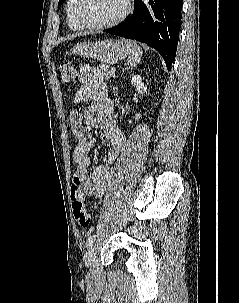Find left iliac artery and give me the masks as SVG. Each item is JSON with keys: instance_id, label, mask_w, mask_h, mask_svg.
<instances>
[{"instance_id": "1", "label": "left iliac artery", "mask_w": 239, "mask_h": 303, "mask_svg": "<svg viewBox=\"0 0 239 303\" xmlns=\"http://www.w3.org/2000/svg\"><path fill=\"white\" fill-rule=\"evenodd\" d=\"M94 240H95V235L88 236L87 241H86L87 247H90L93 244Z\"/></svg>"}]
</instances>
